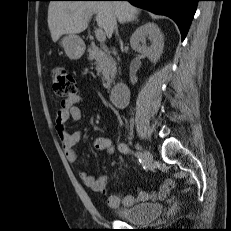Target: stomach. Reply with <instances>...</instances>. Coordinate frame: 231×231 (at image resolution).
Masks as SVG:
<instances>
[{"label":"stomach","mask_w":231,"mask_h":231,"mask_svg":"<svg viewBox=\"0 0 231 231\" xmlns=\"http://www.w3.org/2000/svg\"><path fill=\"white\" fill-rule=\"evenodd\" d=\"M60 45L64 48L66 55L71 60H78L85 52V44L83 40L75 34H68L64 36Z\"/></svg>","instance_id":"0dacf381"}]
</instances>
